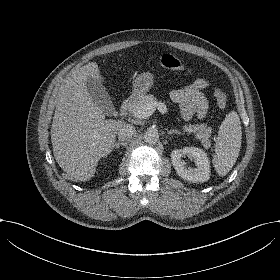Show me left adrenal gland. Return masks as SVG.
I'll return each instance as SVG.
<instances>
[{
	"mask_svg": "<svg viewBox=\"0 0 280 280\" xmlns=\"http://www.w3.org/2000/svg\"><path fill=\"white\" fill-rule=\"evenodd\" d=\"M168 133H169V134H170V133H177V134H179V131H177V130H175V129H171V130L168 131Z\"/></svg>",
	"mask_w": 280,
	"mask_h": 280,
	"instance_id": "obj_1",
	"label": "left adrenal gland"
}]
</instances>
